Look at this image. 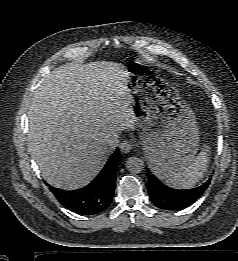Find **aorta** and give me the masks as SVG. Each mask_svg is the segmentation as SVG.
I'll use <instances>...</instances> for the list:
<instances>
[{
  "label": "aorta",
  "mask_w": 238,
  "mask_h": 261,
  "mask_svg": "<svg viewBox=\"0 0 238 261\" xmlns=\"http://www.w3.org/2000/svg\"><path fill=\"white\" fill-rule=\"evenodd\" d=\"M126 167L130 173H141L144 168V162L138 157H129L126 161Z\"/></svg>",
  "instance_id": "aorta-1"
}]
</instances>
